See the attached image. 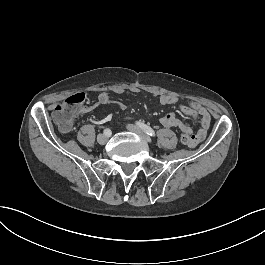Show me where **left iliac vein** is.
<instances>
[{
    "mask_svg": "<svg viewBox=\"0 0 265 265\" xmlns=\"http://www.w3.org/2000/svg\"><path fill=\"white\" fill-rule=\"evenodd\" d=\"M127 129L129 131L139 135L146 143H151V138L143 130H141L139 127L132 125V124H128Z\"/></svg>",
    "mask_w": 265,
    "mask_h": 265,
    "instance_id": "1",
    "label": "left iliac vein"
}]
</instances>
